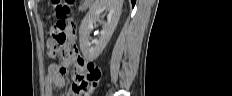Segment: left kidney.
Returning <instances> with one entry per match:
<instances>
[{"label": "left kidney", "instance_id": "1", "mask_svg": "<svg viewBox=\"0 0 232 96\" xmlns=\"http://www.w3.org/2000/svg\"><path fill=\"white\" fill-rule=\"evenodd\" d=\"M123 0H96L79 27V43L82 54L87 60L96 59L109 42L121 15ZM106 11L107 22H102V31L98 40L92 45L90 33L93 24Z\"/></svg>", "mask_w": 232, "mask_h": 96}]
</instances>
